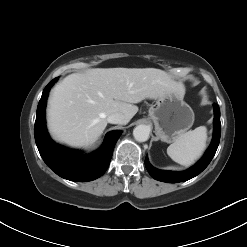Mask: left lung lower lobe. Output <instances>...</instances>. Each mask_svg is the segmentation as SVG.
I'll return each instance as SVG.
<instances>
[{
    "label": "left lung lower lobe",
    "instance_id": "0a47b994",
    "mask_svg": "<svg viewBox=\"0 0 247 247\" xmlns=\"http://www.w3.org/2000/svg\"><path fill=\"white\" fill-rule=\"evenodd\" d=\"M214 113V135L212 143L206 151L203 158L199 162H197L193 167L186 171L172 172L154 168L153 166H151V164L148 161V158L146 157L145 166L154 179L167 183L184 182L197 176L208 166V164L211 162L212 158L216 153L221 135L220 109L217 104H214Z\"/></svg>",
    "mask_w": 247,
    "mask_h": 247
}]
</instances>
